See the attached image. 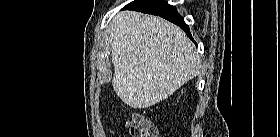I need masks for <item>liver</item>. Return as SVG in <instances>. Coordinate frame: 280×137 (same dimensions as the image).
Returning a JSON list of instances; mask_svg holds the SVG:
<instances>
[{
	"label": "liver",
	"instance_id": "liver-1",
	"mask_svg": "<svg viewBox=\"0 0 280 137\" xmlns=\"http://www.w3.org/2000/svg\"><path fill=\"white\" fill-rule=\"evenodd\" d=\"M110 29L113 89L130 107L148 108L167 99L200 71L194 45L160 17L124 11Z\"/></svg>",
	"mask_w": 280,
	"mask_h": 137
}]
</instances>
